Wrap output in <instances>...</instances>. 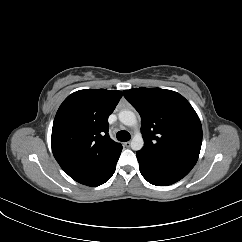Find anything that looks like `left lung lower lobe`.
<instances>
[{"mask_svg": "<svg viewBox=\"0 0 242 242\" xmlns=\"http://www.w3.org/2000/svg\"><path fill=\"white\" fill-rule=\"evenodd\" d=\"M137 159L142 176L157 186L171 185L185 177L191 169L158 160L145 152L138 151Z\"/></svg>", "mask_w": 242, "mask_h": 242, "instance_id": "left-lung-lower-lobe-1", "label": "left lung lower lobe"}]
</instances>
